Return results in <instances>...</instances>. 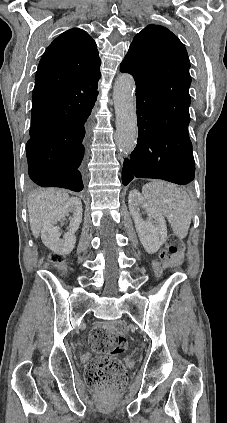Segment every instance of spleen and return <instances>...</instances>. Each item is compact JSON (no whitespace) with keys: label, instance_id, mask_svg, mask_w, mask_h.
<instances>
[{"label":"spleen","instance_id":"1","mask_svg":"<svg viewBox=\"0 0 227 423\" xmlns=\"http://www.w3.org/2000/svg\"><path fill=\"white\" fill-rule=\"evenodd\" d=\"M142 194L148 206L167 217L177 237H186L193 213L192 202L186 192L169 182L152 180L143 186Z\"/></svg>","mask_w":227,"mask_h":423}]
</instances>
